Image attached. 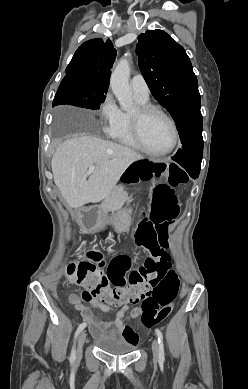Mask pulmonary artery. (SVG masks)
Segmentation results:
<instances>
[{"instance_id":"e3ab8cb5","label":"pulmonary artery","mask_w":248,"mask_h":389,"mask_svg":"<svg viewBox=\"0 0 248 389\" xmlns=\"http://www.w3.org/2000/svg\"><path fill=\"white\" fill-rule=\"evenodd\" d=\"M130 87L139 99L147 100L149 98L150 90L142 75H134L130 80Z\"/></svg>"}]
</instances>
